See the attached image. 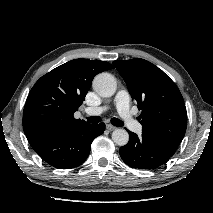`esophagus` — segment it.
<instances>
[{
  "label": "esophagus",
  "instance_id": "obj_1",
  "mask_svg": "<svg viewBox=\"0 0 213 213\" xmlns=\"http://www.w3.org/2000/svg\"><path fill=\"white\" fill-rule=\"evenodd\" d=\"M106 129L109 130V131H113V130L116 129V127L113 126V125H111V124H107V125H106Z\"/></svg>",
  "mask_w": 213,
  "mask_h": 213
}]
</instances>
